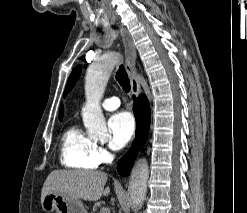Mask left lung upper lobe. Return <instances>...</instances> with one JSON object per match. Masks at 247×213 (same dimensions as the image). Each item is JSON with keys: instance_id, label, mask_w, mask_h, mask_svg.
I'll return each instance as SVG.
<instances>
[{"instance_id": "5c2ea615", "label": "left lung upper lobe", "mask_w": 247, "mask_h": 213, "mask_svg": "<svg viewBox=\"0 0 247 213\" xmlns=\"http://www.w3.org/2000/svg\"><path fill=\"white\" fill-rule=\"evenodd\" d=\"M81 68H82L81 66H76V67L73 69V71H72V73H71V75H70V77H69L67 86H66V88H65L64 96H66V95L69 93V91L73 88V86L75 85L77 79H78L79 76H80Z\"/></svg>"}]
</instances>
